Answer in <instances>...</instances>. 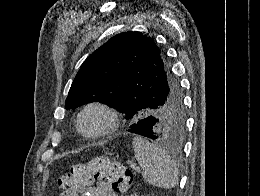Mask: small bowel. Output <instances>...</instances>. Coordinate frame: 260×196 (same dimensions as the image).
<instances>
[{"mask_svg": "<svg viewBox=\"0 0 260 196\" xmlns=\"http://www.w3.org/2000/svg\"><path fill=\"white\" fill-rule=\"evenodd\" d=\"M84 196H117V194L108 181L99 180L96 184L85 189Z\"/></svg>", "mask_w": 260, "mask_h": 196, "instance_id": "small-bowel-1", "label": "small bowel"}]
</instances>
